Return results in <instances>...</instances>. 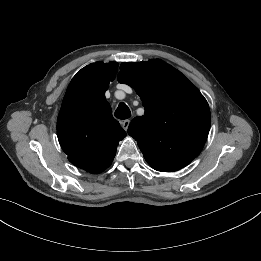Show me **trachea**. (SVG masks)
Returning <instances> with one entry per match:
<instances>
[{"mask_svg": "<svg viewBox=\"0 0 261 261\" xmlns=\"http://www.w3.org/2000/svg\"><path fill=\"white\" fill-rule=\"evenodd\" d=\"M114 115L116 118L124 120L131 117V111L125 103L121 102L119 103Z\"/></svg>", "mask_w": 261, "mask_h": 261, "instance_id": "obj_1", "label": "trachea"}]
</instances>
